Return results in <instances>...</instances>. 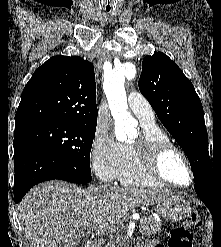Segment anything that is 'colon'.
Here are the masks:
<instances>
[{"instance_id":"obj_1","label":"colon","mask_w":221,"mask_h":247,"mask_svg":"<svg viewBox=\"0 0 221 247\" xmlns=\"http://www.w3.org/2000/svg\"><path fill=\"white\" fill-rule=\"evenodd\" d=\"M198 224L199 217L196 212H192L186 216L183 223L172 230L168 241V247H191L193 239L191 229Z\"/></svg>"}]
</instances>
